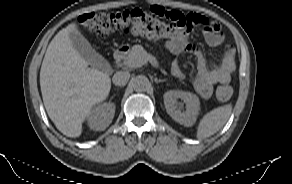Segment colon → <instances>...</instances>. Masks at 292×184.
<instances>
[{"label": "colon", "mask_w": 292, "mask_h": 184, "mask_svg": "<svg viewBox=\"0 0 292 184\" xmlns=\"http://www.w3.org/2000/svg\"><path fill=\"white\" fill-rule=\"evenodd\" d=\"M80 24L96 34L130 33L152 40H168L174 33L190 29L194 21L189 15L154 6L150 10L131 9L114 13L89 12L79 17ZM233 89L221 85L216 89L220 101L231 98Z\"/></svg>", "instance_id": "5ec220e1"}]
</instances>
